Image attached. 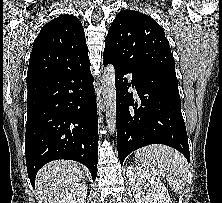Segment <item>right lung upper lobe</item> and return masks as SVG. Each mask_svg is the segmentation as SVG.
<instances>
[{"label": "right lung upper lobe", "mask_w": 222, "mask_h": 203, "mask_svg": "<svg viewBox=\"0 0 222 203\" xmlns=\"http://www.w3.org/2000/svg\"><path fill=\"white\" fill-rule=\"evenodd\" d=\"M90 66L81 22L64 14L46 23L33 43L27 81L67 70Z\"/></svg>", "instance_id": "1"}]
</instances>
